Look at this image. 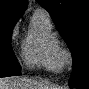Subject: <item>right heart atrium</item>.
<instances>
[{"mask_svg": "<svg viewBox=\"0 0 89 89\" xmlns=\"http://www.w3.org/2000/svg\"><path fill=\"white\" fill-rule=\"evenodd\" d=\"M17 34H18V27L15 26L12 32V39L16 38Z\"/></svg>", "mask_w": 89, "mask_h": 89, "instance_id": "1", "label": "right heart atrium"}]
</instances>
